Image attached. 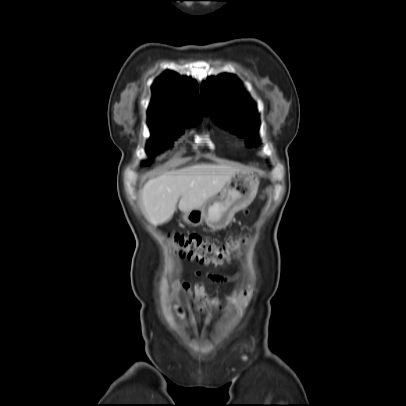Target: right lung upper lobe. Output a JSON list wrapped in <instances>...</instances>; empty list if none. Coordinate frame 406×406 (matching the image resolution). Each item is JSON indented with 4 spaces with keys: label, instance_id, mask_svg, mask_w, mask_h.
Here are the masks:
<instances>
[{
    "label": "right lung upper lobe",
    "instance_id": "obj_1",
    "mask_svg": "<svg viewBox=\"0 0 406 406\" xmlns=\"http://www.w3.org/2000/svg\"><path fill=\"white\" fill-rule=\"evenodd\" d=\"M153 99L149 123H188L203 115L196 83L174 72H167L152 86Z\"/></svg>",
    "mask_w": 406,
    "mask_h": 406
}]
</instances>
